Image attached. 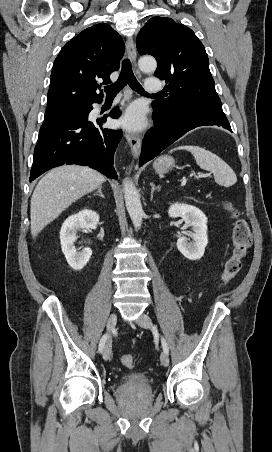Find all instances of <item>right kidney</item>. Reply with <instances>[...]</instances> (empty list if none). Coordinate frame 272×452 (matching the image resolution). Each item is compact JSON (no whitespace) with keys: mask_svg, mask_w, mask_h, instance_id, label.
Returning a JSON list of instances; mask_svg holds the SVG:
<instances>
[{"mask_svg":"<svg viewBox=\"0 0 272 452\" xmlns=\"http://www.w3.org/2000/svg\"><path fill=\"white\" fill-rule=\"evenodd\" d=\"M99 223V215L93 210L84 209L74 215L68 217L60 230V241L62 252L66 260L73 270H81L89 261L92 250L84 248L81 252L76 250L74 242L77 240V231L80 229L97 228Z\"/></svg>","mask_w":272,"mask_h":452,"instance_id":"ca27d5eb","label":"right kidney"}]
</instances>
